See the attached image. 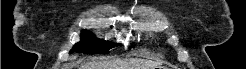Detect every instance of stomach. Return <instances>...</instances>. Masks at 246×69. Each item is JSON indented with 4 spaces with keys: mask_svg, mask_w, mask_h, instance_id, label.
Masks as SVG:
<instances>
[{
    "mask_svg": "<svg viewBox=\"0 0 246 69\" xmlns=\"http://www.w3.org/2000/svg\"><path fill=\"white\" fill-rule=\"evenodd\" d=\"M153 69H168V68H166V67H164V66H158V67H155V68H153Z\"/></svg>",
    "mask_w": 246,
    "mask_h": 69,
    "instance_id": "0dacf381",
    "label": "stomach"
}]
</instances>
